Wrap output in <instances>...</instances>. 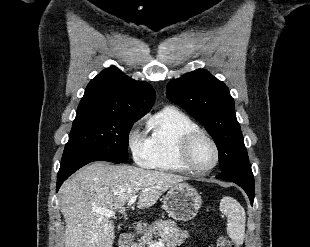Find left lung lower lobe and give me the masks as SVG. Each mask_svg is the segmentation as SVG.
<instances>
[{
    "instance_id": "1",
    "label": "left lung lower lobe",
    "mask_w": 310,
    "mask_h": 247,
    "mask_svg": "<svg viewBox=\"0 0 310 247\" xmlns=\"http://www.w3.org/2000/svg\"><path fill=\"white\" fill-rule=\"evenodd\" d=\"M218 179L227 180L239 185L249 196L251 205L254 201V176L250 165L239 170L222 172L216 176Z\"/></svg>"
}]
</instances>
